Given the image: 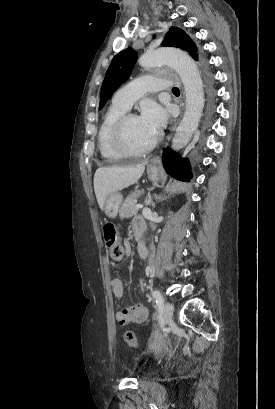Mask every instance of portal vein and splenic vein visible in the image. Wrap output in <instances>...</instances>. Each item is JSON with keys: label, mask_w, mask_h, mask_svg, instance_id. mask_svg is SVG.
Masks as SVG:
<instances>
[{"label": "portal vein and splenic vein", "mask_w": 275, "mask_h": 409, "mask_svg": "<svg viewBox=\"0 0 275 409\" xmlns=\"http://www.w3.org/2000/svg\"><path fill=\"white\" fill-rule=\"evenodd\" d=\"M136 209H143V205H135Z\"/></svg>", "instance_id": "obj_1"}]
</instances>
